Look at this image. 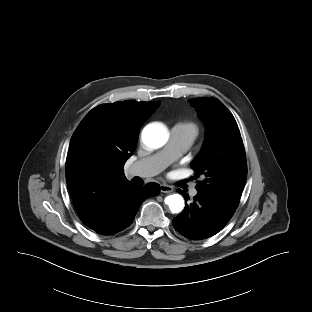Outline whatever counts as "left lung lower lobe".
<instances>
[{"instance_id":"1","label":"left lung lower lobe","mask_w":312,"mask_h":312,"mask_svg":"<svg viewBox=\"0 0 312 312\" xmlns=\"http://www.w3.org/2000/svg\"><path fill=\"white\" fill-rule=\"evenodd\" d=\"M178 192L185 196L182 190ZM235 210L217 197L198 192L193 203L186 204L183 212L172 223L176 231L189 239H205L217 234Z\"/></svg>"}]
</instances>
